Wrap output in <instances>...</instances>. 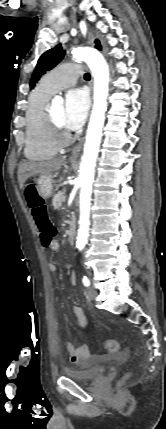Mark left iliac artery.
<instances>
[{
    "label": "left iliac artery",
    "instance_id": "obj_1",
    "mask_svg": "<svg viewBox=\"0 0 166 429\" xmlns=\"http://www.w3.org/2000/svg\"><path fill=\"white\" fill-rule=\"evenodd\" d=\"M82 282H83L84 286H86V287L90 286V280L86 276H83Z\"/></svg>",
    "mask_w": 166,
    "mask_h": 429
}]
</instances>
